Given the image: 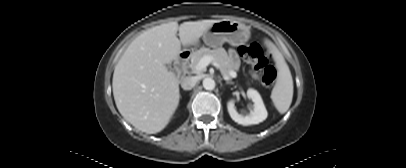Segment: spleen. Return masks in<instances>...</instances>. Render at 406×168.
I'll return each instance as SVG.
<instances>
[{
    "mask_svg": "<svg viewBox=\"0 0 406 168\" xmlns=\"http://www.w3.org/2000/svg\"><path fill=\"white\" fill-rule=\"evenodd\" d=\"M268 46L277 66V80L271 92V99L279 113L284 114L289 109L293 98V79L282 53L272 43Z\"/></svg>",
    "mask_w": 406,
    "mask_h": 168,
    "instance_id": "1",
    "label": "spleen"
}]
</instances>
